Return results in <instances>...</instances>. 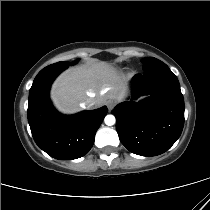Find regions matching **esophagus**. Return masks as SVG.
Wrapping results in <instances>:
<instances>
[{"mask_svg":"<svg viewBox=\"0 0 210 210\" xmlns=\"http://www.w3.org/2000/svg\"><path fill=\"white\" fill-rule=\"evenodd\" d=\"M116 105V102L114 100H108L107 101V107L109 110H112Z\"/></svg>","mask_w":210,"mask_h":210,"instance_id":"34e87169","label":"esophagus"}]
</instances>
